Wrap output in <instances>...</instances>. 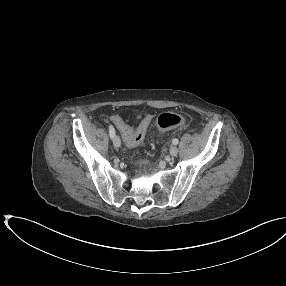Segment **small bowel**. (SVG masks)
Masks as SVG:
<instances>
[{"instance_id":"1","label":"small bowel","mask_w":286,"mask_h":286,"mask_svg":"<svg viewBox=\"0 0 286 286\" xmlns=\"http://www.w3.org/2000/svg\"><path fill=\"white\" fill-rule=\"evenodd\" d=\"M110 120L116 125V127L120 130L123 138L126 141V138L134 133V129L128 123L124 121L122 117L119 115H113L110 117ZM152 120V116L145 117L140 123L147 122L150 124Z\"/></svg>"}]
</instances>
